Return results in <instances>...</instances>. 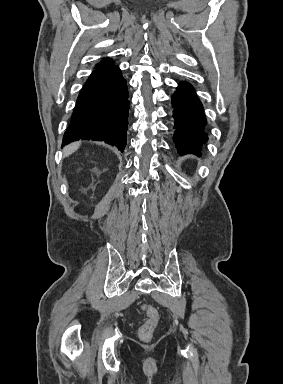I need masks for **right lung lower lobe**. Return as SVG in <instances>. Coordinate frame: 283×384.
Returning <instances> with one entry per match:
<instances>
[{"instance_id":"98d812e1","label":"right lung lower lobe","mask_w":283,"mask_h":384,"mask_svg":"<svg viewBox=\"0 0 283 384\" xmlns=\"http://www.w3.org/2000/svg\"><path fill=\"white\" fill-rule=\"evenodd\" d=\"M128 88L118 66L96 68L83 86L62 146L76 140L105 141L121 152L128 129Z\"/></svg>"}]
</instances>
